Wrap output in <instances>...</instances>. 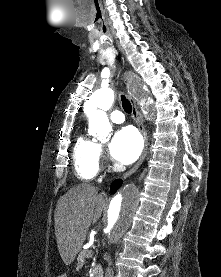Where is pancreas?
<instances>
[{"mask_svg":"<svg viewBox=\"0 0 221 277\" xmlns=\"http://www.w3.org/2000/svg\"><path fill=\"white\" fill-rule=\"evenodd\" d=\"M92 257V251L91 250H82L77 258V266L78 268H81L84 265V261L86 258H91ZM100 277V276H98Z\"/></svg>","mask_w":221,"mask_h":277,"instance_id":"pancreas-1","label":"pancreas"}]
</instances>
